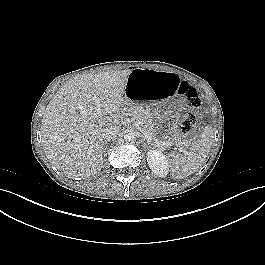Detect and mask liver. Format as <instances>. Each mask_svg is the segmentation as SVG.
Returning a JSON list of instances; mask_svg holds the SVG:
<instances>
[{
	"instance_id": "liver-1",
	"label": "liver",
	"mask_w": 265,
	"mask_h": 265,
	"mask_svg": "<svg viewBox=\"0 0 265 265\" xmlns=\"http://www.w3.org/2000/svg\"><path fill=\"white\" fill-rule=\"evenodd\" d=\"M132 70L89 73L68 81L42 118V146L51 163L69 178L88 177L103 167L101 130L116 125ZM101 114L95 115V101Z\"/></svg>"
}]
</instances>
